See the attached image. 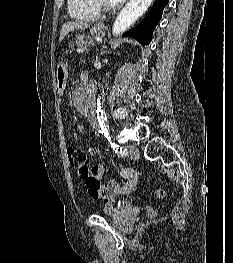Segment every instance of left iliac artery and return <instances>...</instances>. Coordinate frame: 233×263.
<instances>
[{"instance_id":"obj_1","label":"left iliac artery","mask_w":233,"mask_h":263,"mask_svg":"<svg viewBox=\"0 0 233 263\" xmlns=\"http://www.w3.org/2000/svg\"><path fill=\"white\" fill-rule=\"evenodd\" d=\"M104 135H105L106 139L109 141L110 146L115 151V153H117L119 155L127 154V149L126 148H124L122 146H119L118 144L112 142L111 136L109 135L108 131L104 132Z\"/></svg>"}]
</instances>
